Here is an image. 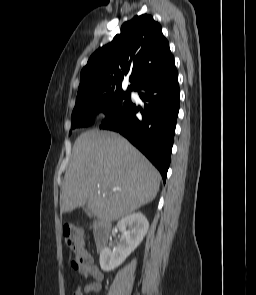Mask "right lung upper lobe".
Instances as JSON below:
<instances>
[{"mask_svg":"<svg viewBox=\"0 0 256 295\" xmlns=\"http://www.w3.org/2000/svg\"><path fill=\"white\" fill-rule=\"evenodd\" d=\"M172 54L161 25L147 14L135 16L121 27V34L96 50L82 69L77 100L125 94L122 82L129 76V90L164 65Z\"/></svg>","mask_w":256,"mask_h":295,"instance_id":"obj_1","label":"right lung upper lobe"}]
</instances>
